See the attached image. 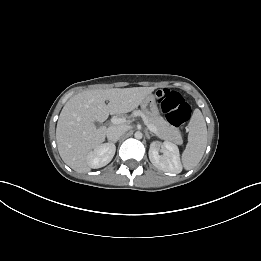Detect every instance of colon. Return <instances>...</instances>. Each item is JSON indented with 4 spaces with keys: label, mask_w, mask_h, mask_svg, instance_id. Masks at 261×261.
Returning a JSON list of instances; mask_svg holds the SVG:
<instances>
[{
    "label": "colon",
    "mask_w": 261,
    "mask_h": 261,
    "mask_svg": "<svg viewBox=\"0 0 261 261\" xmlns=\"http://www.w3.org/2000/svg\"><path fill=\"white\" fill-rule=\"evenodd\" d=\"M156 98L171 124L182 127L189 120L190 106L177 91L160 89L156 91Z\"/></svg>",
    "instance_id": "colon-1"
}]
</instances>
